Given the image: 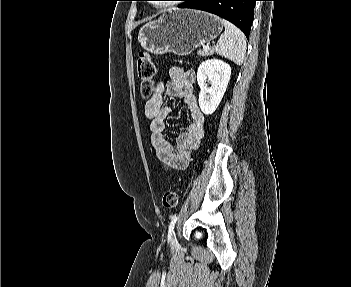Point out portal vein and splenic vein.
Returning <instances> with one entry per match:
<instances>
[{
    "mask_svg": "<svg viewBox=\"0 0 351 287\" xmlns=\"http://www.w3.org/2000/svg\"><path fill=\"white\" fill-rule=\"evenodd\" d=\"M208 48H209V46H208V45H206V46H204V47H203V49H208Z\"/></svg>",
    "mask_w": 351,
    "mask_h": 287,
    "instance_id": "18ae733b",
    "label": "portal vein and splenic vein"
}]
</instances>
